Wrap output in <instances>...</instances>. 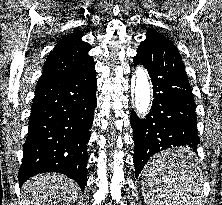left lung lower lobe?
<instances>
[{
  "label": "left lung lower lobe",
  "mask_w": 222,
  "mask_h": 205,
  "mask_svg": "<svg viewBox=\"0 0 222 205\" xmlns=\"http://www.w3.org/2000/svg\"><path fill=\"white\" fill-rule=\"evenodd\" d=\"M137 64L144 65L150 75L154 100L146 119H139L131 112L136 177L155 153L184 146L191 154L200 143L196 105L184 63L174 44L159 33H148L134 57V66Z\"/></svg>",
  "instance_id": "left-lung-lower-lobe-1"
}]
</instances>
